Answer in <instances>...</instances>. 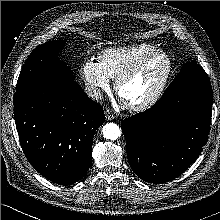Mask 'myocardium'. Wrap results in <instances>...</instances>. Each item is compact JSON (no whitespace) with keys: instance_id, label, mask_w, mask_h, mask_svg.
<instances>
[{"instance_id":"myocardium-1","label":"myocardium","mask_w":220,"mask_h":220,"mask_svg":"<svg viewBox=\"0 0 220 220\" xmlns=\"http://www.w3.org/2000/svg\"><path fill=\"white\" fill-rule=\"evenodd\" d=\"M158 55L164 56L168 62V67L163 78L161 79L158 86L154 89V91L148 97H146L145 99L139 102L127 103L126 105L129 109L134 110V111H143V110L150 108L151 106H153L155 103L159 101V99L164 94L169 84V81L171 79V76L173 74V70H174L173 59L164 50L156 49V50H153L147 53L143 57H141L134 65H132L129 69H127L125 72H123L121 75H119L116 78L115 90L117 94L120 96V91L123 85L126 82H128L131 78H133L135 75H137L148 60Z\"/></svg>"}]
</instances>
